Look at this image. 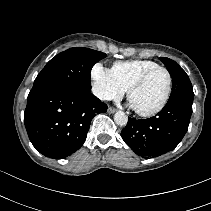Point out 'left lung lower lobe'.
I'll return each instance as SVG.
<instances>
[{"label": "left lung lower lobe", "mask_w": 211, "mask_h": 211, "mask_svg": "<svg viewBox=\"0 0 211 211\" xmlns=\"http://www.w3.org/2000/svg\"><path fill=\"white\" fill-rule=\"evenodd\" d=\"M193 100H168L157 116L147 119L128 118L121 136L137 155L154 157L172 151L187 132Z\"/></svg>", "instance_id": "0a47b994"}]
</instances>
